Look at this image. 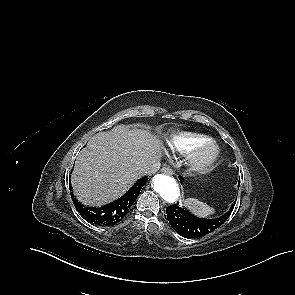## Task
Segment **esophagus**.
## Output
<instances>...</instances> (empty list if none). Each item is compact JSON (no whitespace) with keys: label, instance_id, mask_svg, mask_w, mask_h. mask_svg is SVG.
Masks as SVG:
<instances>
[{"label":"esophagus","instance_id":"1","mask_svg":"<svg viewBox=\"0 0 295 295\" xmlns=\"http://www.w3.org/2000/svg\"><path fill=\"white\" fill-rule=\"evenodd\" d=\"M161 171H162V173L167 174V175H172L173 174L172 169H170L169 167H163L161 169Z\"/></svg>","mask_w":295,"mask_h":295}]
</instances>
